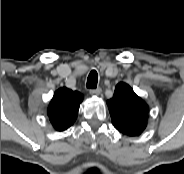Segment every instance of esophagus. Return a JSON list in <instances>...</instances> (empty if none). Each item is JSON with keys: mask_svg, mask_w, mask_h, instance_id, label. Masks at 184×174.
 Returning a JSON list of instances; mask_svg holds the SVG:
<instances>
[{"mask_svg": "<svg viewBox=\"0 0 184 174\" xmlns=\"http://www.w3.org/2000/svg\"><path fill=\"white\" fill-rule=\"evenodd\" d=\"M101 91H102L101 88L91 89L90 94L98 96L101 93Z\"/></svg>", "mask_w": 184, "mask_h": 174, "instance_id": "1", "label": "esophagus"}]
</instances>
